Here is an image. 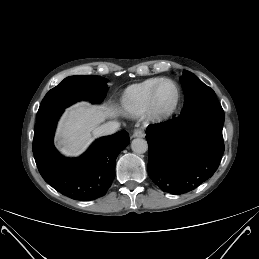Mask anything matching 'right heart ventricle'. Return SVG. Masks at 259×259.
Listing matches in <instances>:
<instances>
[{
	"label": "right heart ventricle",
	"mask_w": 259,
	"mask_h": 259,
	"mask_svg": "<svg viewBox=\"0 0 259 259\" xmlns=\"http://www.w3.org/2000/svg\"><path fill=\"white\" fill-rule=\"evenodd\" d=\"M160 80L162 78H149L127 87L121 98L123 109L133 116L144 113L148 108L151 92Z\"/></svg>",
	"instance_id": "obj_1"
}]
</instances>
